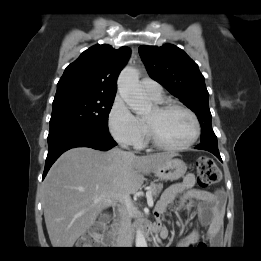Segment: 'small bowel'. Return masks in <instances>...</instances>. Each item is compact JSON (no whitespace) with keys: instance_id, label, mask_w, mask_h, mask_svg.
<instances>
[{"instance_id":"small-bowel-1","label":"small bowel","mask_w":261,"mask_h":261,"mask_svg":"<svg viewBox=\"0 0 261 261\" xmlns=\"http://www.w3.org/2000/svg\"><path fill=\"white\" fill-rule=\"evenodd\" d=\"M177 198L179 208L184 206L192 208L194 202L198 203V218L203 225L208 226L206 240L210 244L220 243L226 201L224 193L221 191L210 192L197 188L194 175L188 174L182 181L170 185L162 194L156 208L158 220ZM157 226L158 229L164 231L160 223ZM198 236V231L194 229L179 245L188 247Z\"/></svg>"}]
</instances>
